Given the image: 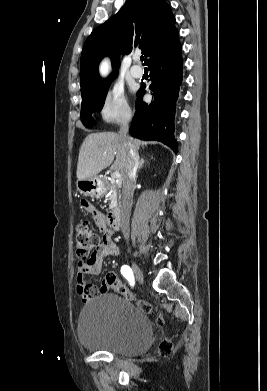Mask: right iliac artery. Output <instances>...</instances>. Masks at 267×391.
Wrapping results in <instances>:
<instances>
[{
    "label": "right iliac artery",
    "mask_w": 267,
    "mask_h": 391,
    "mask_svg": "<svg viewBox=\"0 0 267 391\" xmlns=\"http://www.w3.org/2000/svg\"><path fill=\"white\" fill-rule=\"evenodd\" d=\"M121 273L130 282V285H134V276L129 266H122Z\"/></svg>",
    "instance_id": "1"
}]
</instances>
